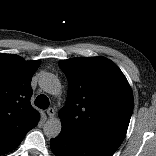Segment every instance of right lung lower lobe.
Returning <instances> with one entry per match:
<instances>
[{
  "instance_id": "right-lung-lower-lobe-1",
  "label": "right lung lower lobe",
  "mask_w": 156,
  "mask_h": 156,
  "mask_svg": "<svg viewBox=\"0 0 156 156\" xmlns=\"http://www.w3.org/2000/svg\"><path fill=\"white\" fill-rule=\"evenodd\" d=\"M21 141H22V140H21ZM21 141H20V143H21ZM20 143H18V145H19ZM18 145L14 146V147H11L9 150L0 149V150L2 151L0 155L5 154V153H7V152L13 150V149L16 148Z\"/></svg>"
}]
</instances>
